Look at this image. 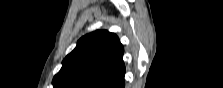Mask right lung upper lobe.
Wrapping results in <instances>:
<instances>
[{
  "label": "right lung upper lobe",
  "mask_w": 223,
  "mask_h": 88,
  "mask_svg": "<svg viewBox=\"0 0 223 88\" xmlns=\"http://www.w3.org/2000/svg\"><path fill=\"white\" fill-rule=\"evenodd\" d=\"M123 46L105 30L83 36L63 60L54 88H124Z\"/></svg>",
  "instance_id": "right-lung-upper-lobe-1"
}]
</instances>
